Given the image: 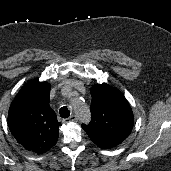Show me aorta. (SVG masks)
Here are the masks:
<instances>
[{"instance_id": "aorta-1", "label": "aorta", "mask_w": 171, "mask_h": 171, "mask_svg": "<svg viewBox=\"0 0 171 171\" xmlns=\"http://www.w3.org/2000/svg\"><path fill=\"white\" fill-rule=\"evenodd\" d=\"M74 109L77 112L80 120H82V121H88V119L90 118V114H89L88 109H82L77 104L74 105Z\"/></svg>"}]
</instances>
